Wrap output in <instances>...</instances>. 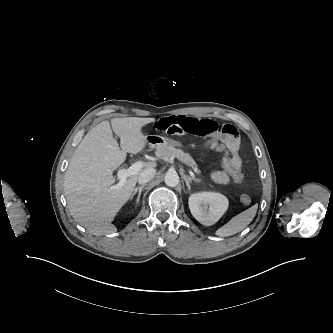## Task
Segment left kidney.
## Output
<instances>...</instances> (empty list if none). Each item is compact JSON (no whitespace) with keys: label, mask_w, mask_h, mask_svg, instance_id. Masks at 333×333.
Returning <instances> with one entry per match:
<instances>
[{"label":"left kidney","mask_w":333,"mask_h":333,"mask_svg":"<svg viewBox=\"0 0 333 333\" xmlns=\"http://www.w3.org/2000/svg\"><path fill=\"white\" fill-rule=\"evenodd\" d=\"M188 203L191 214L205 226L215 224L228 208V199L216 192L194 193Z\"/></svg>","instance_id":"left-kidney-1"}]
</instances>
